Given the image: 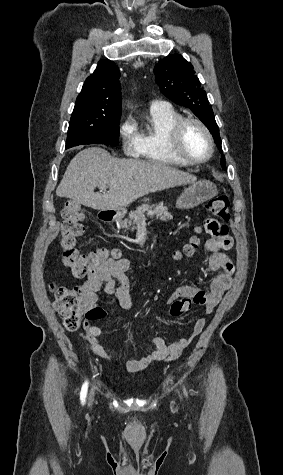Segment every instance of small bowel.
I'll list each match as a JSON object with an SVG mask.
<instances>
[{"mask_svg":"<svg viewBox=\"0 0 283 475\" xmlns=\"http://www.w3.org/2000/svg\"><path fill=\"white\" fill-rule=\"evenodd\" d=\"M224 226L222 219H207L204 222V231L209 238L205 241L204 247L210 256L208 258V270L216 273L208 290L201 288L180 285L177 286L170 298H175L176 293H195L196 305L203 307L206 315L211 314L225 292L231 287L235 271L234 263L231 257L224 252V249L232 248L234 241L222 236L220 229ZM227 233L225 230L222 232ZM130 268V263L126 259H107L92 273H90L83 284V296L88 304L89 310L84 314L80 337L88 349L96 356L124 369L129 373H140L153 363L168 360L177 361L192 341L197 338L206 325L204 316L198 317L194 323L191 334L179 337L173 343L167 344L166 338L162 334H157L151 338L150 343L153 346V352L142 358L130 359L124 364H118L112 356L106 351L100 338L103 336V330L99 326H107L108 318L106 311L99 306V292L115 297L120 307L128 310L132 306V298L129 288L126 272ZM170 315L178 318L181 315H173L170 309Z\"/></svg>","mask_w":283,"mask_h":475,"instance_id":"small-bowel-1","label":"small bowel"}]
</instances>
